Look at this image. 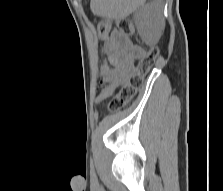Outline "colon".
I'll return each mask as SVG.
<instances>
[{
	"instance_id": "obj_1",
	"label": "colon",
	"mask_w": 223,
	"mask_h": 191,
	"mask_svg": "<svg viewBox=\"0 0 223 191\" xmlns=\"http://www.w3.org/2000/svg\"><path fill=\"white\" fill-rule=\"evenodd\" d=\"M117 27L126 36L135 35V27L127 19L117 20ZM110 29V21L107 19H102L98 24V33L100 37H105ZM158 56V49L151 47L147 50L143 58L139 61L136 67V73L131 76L128 83L125 84L121 90L111 99L109 103V110L111 112H117L121 110L140 90L143 85V80L145 75L150 71L154 65L156 58ZM97 63L99 64V69L101 72L104 70H109V62L104 56H99Z\"/></svg>"
}]
</instances>
